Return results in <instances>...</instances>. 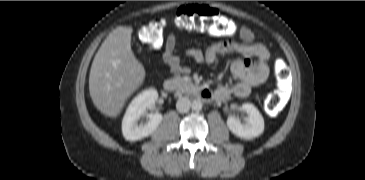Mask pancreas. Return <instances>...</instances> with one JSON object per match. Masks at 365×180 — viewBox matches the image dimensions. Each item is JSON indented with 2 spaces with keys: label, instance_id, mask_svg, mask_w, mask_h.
Returning <instances> with one entry per match:
<instances>
[{
  "label": "pancreas",
  "instance_id": "1",
  "mask_svg": "<svg viewBox=\"0 0 365 180\" xmlns=\"http://www.w3.org/2000/svg\"><path fill=\"white\" fill-rule=\"evenodd\" d=\"M174 80L177 84L178 90L183 93H190L195 89L194 84L191 82L189 78H182L180 76H176Z\"/></svg>",
  "mask_w": 365,
  "mask_h": 180
}]
</instances>
